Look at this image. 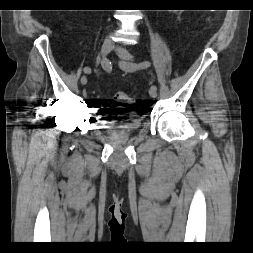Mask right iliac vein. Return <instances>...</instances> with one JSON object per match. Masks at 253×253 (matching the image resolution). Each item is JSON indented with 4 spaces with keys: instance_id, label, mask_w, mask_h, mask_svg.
<instances>
[{
    "instance_id": "1",
    "label": "right iliac vein",
    "mask_w": 253,
    "mask_h": 253,
    "mask_svg": "<svg viewBox=\"0 0 253 253\" xmlns=\"http://www.w3.org/2000/svg\"><path fill=\"white\" fill-rule=\"evenodd\" d=\"M114 45L113 42L111 41V39L107 38L104 40L102 47H101V54L103 57H106L111 50L113 49ZM81 83L84 85L87 83V77L86 76H82L81 77Z\"/></svg>"
}]
</instances>
